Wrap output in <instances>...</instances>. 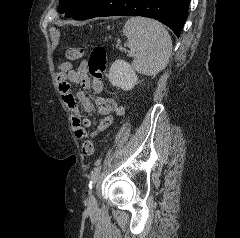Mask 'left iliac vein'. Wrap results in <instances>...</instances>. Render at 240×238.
Returning a JSON list of instances; mask_svg holds the SVG:
<instances>
[{
    "label": "left iliac vein",
    "mask_w": 240,
    "mask_h": 238,
    "mask_svg": "<svg viewBox=\"0 0 240 238\" xmlns=\"http://www.w3.org/2000/svg\"><path fill=\"white\" fill-rule=\"evenodd\" d=\"M86 202L89 210H95L97 208V200L92 191L88 193Z\"/></svg>",
    "instance_id": "obj_1"
}]
</instances>
